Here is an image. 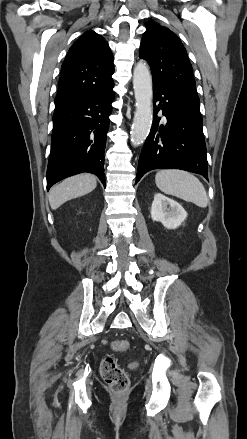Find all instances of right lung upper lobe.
<instances>
[{
    "instance_id": "cb5924a9",
    "label": "right lung upper lobe",
    "mask_w": 247,
    "mask_h": 439,
    "mask_svg": "<svg viewBox=\"0 0 247 439\" xmlns=\"http://www.w3.org/2000/svg\"><path fill=\"white\" fill-rule=\"evenodd\" d=\"M113 55L103 37L90 30L70 48L62 64L55 109L114 85Z\"/></svg>"
}]
</instances>
